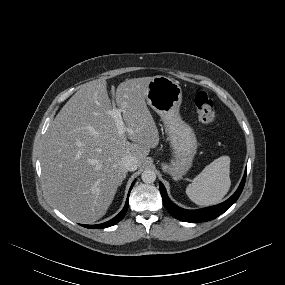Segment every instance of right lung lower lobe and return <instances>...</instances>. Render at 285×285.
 Listing matches in <instances>:
<instances>
[{"label":"right lung lower lobe","mask_w":285,"mask_h":285,"mask_svg":"<svg viewBox=\"0 0 285 285\" xmlns=\"http://www.w3.org/2000/svg\"><path fill=\"white\" fill-rule=\"evenodd\" d=\"M135 181L133 182L130 190H129V193H128V198L126 200V204L123 208V210L116 216L114 217L113 219H111L110 221H107L105 223H102V224H98V225H82L86 228H91V229H97V228H107V227H110V226H113L115 225L116 223H118L126 214L127 212V209H128V203H129V194H130V191L134 185Z\"/></svg>","instance_id":"1"}]
</instances>
